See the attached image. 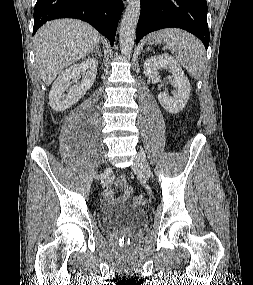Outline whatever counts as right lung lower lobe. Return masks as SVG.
Here are the masks:
<instances>
[{
  "mask_svg": "<svg viewBox=\"0 0 253 285\" xmlns=\"http://www.w3.org/2000/svg\"><path fill=\"white\" fill-rule=\"evenodd\" d=\"M122 11V0H37L33 35L47 21L70 17L91 24L112 46Z\"/></svg>",
  "mask_w": 253,
  "mask_h": 285,
  "instance_id": "1",
  "label": "right lung lower lobe"
}]
</instances>
